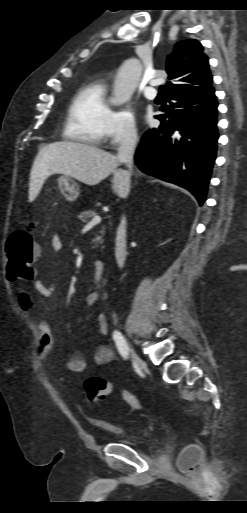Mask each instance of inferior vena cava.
<instances>
[{
    "instance_id": "1",
    "label": "inferior vena cava",
    "mask_w": 247,
    "mask_h": 513,
    "mask_svg": "<svg viewBox=\"0 0 247 513\" xmlns=\"http://www.w3.org/2000/svg\"><path fill=\"white\" fill-rule=\"evenodd\" d=\"M137 142V131L134 127L126 128L121 136L120 145L118 147L117 159L127 165L129 171L128 175H131L133 156L135 145ZM125 217L121 219L116 237V248L115 257L120 267L123 266L126 257V234H125Z\"/></svg>"
}]
</instances>
